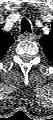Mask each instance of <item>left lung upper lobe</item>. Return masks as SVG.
Listing matches in <instances>:
<instances>
[{"label":"left lung upper lobe","mask_w":53,"mask_h":120,"mask_svg":"<svg viewBox=\"0 0 53 120\" xmlns=\"http://www.w3.org/2000/svg\"><path fill=\"white\" fill-rule=\"evenodd\" d=\"M40 44L43 46L46 57L52 61L53 59V33L43 36L40 39Z\"/></svg>","instance_id":"5c2ea615"}]
</instances>
